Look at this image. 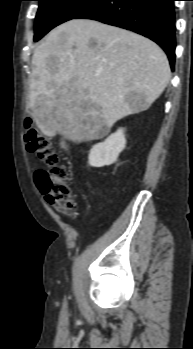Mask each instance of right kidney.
<instances>
[{"label":"right kidney","instance_id":"1","mask_svg":"<svg viewBox=\"0 0 193 349\" xmlns=\"http://www.w3.org/2000/svg\"><path fill=\"white\" fill-rule=\"evenodd\" d=\"M126 146L124 129L119 128L104 142L92 147L88 156V163L92 167H103L116 162L119 154Z\"/></svg>","mask_w":193,"mask_h":349}]
</instances>
